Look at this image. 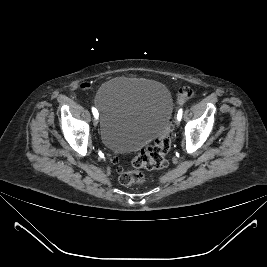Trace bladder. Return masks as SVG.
I'll use <instances>...</instances> for the list:
<instances>
[{
  "instance_id": "obj_1",
  "label": "bladder",
  "mask_w": 267,
  "mask_h": 267,
  "mask_svg": "<svg viewBox=\"0 0 267 267\" xmlns=\"http://www.w3.org/2000/svg\"><path fill=\"white\" fill-rule=\"evenodd\" d=\"M95 104L103 144L131 152L160 136L173 112L170 91L160 82L116 77L99 89Z\"/></svg>"
}]
</instances>
